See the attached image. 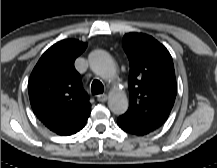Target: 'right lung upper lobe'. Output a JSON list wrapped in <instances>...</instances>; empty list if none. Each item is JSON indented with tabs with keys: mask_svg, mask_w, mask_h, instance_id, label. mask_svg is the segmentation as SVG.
<instances>
[{
	"mask_svg": "<svg viewBox=\"0 0 217 168\" xmlns=\"http://www.w3.org/2000/svg\"><path fill=\"white\" fill-rule=\"evenodd\" d=\"M87 43L62 40L51 46L33 69L28 91L32 109L51 131L69 136L81 130L90 115L91 104L82 87L75 59Z\"/></svg>",
	"mask_w": 217,
	"mask_h": 168,
	"instance_id": "right-lung-upper-lobe-1",
	"label": "right lung upper lobe"
}]
</instances>
